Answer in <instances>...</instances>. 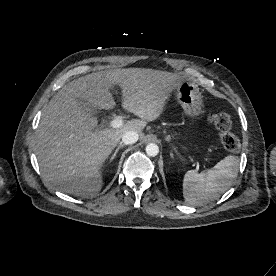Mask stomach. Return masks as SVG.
<instances>
[{
    "label": "stomach",
    "mask_w": 276,
    "mask_h": 276,
    "mask_svg": "<svg viewBox=\"0 0 276 276\" xmlns=\"http://www.w3.org/2000/svg\"><path fill=\"white\" fill-rule=\"evenodd\" d=\"M175 96L186 115L194 118L203 114V98L197 84L189 80H184L175 89Z\"/></svg>",
    "instance_id": "obj_1"
}]
</instances>
